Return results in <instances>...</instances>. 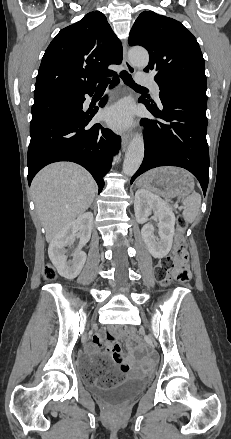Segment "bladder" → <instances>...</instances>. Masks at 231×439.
<instances>
[{
	"label": "bladder",
	"mask_w": 231,
	"mask_h": 439,
	"mask_svg": "<svg viewBox=\"0 0 231 439\" xmlns=\"http://www.w3.org/2000/svg\"><path fill=\"white\" fill-rule=\"evenodd\" d=\"M98 366L92 358L81 357L76 362V371L83 379L92 376ZM104 370V367H101ZM149 384V378L145 376L128 378L112 386H90L91 394L104 401H124L141 391Z\"/></svg>",
	"instance_id": "31cf9c89"
}]
</instances>
